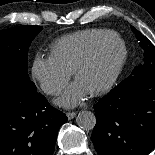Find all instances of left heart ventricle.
<instances>
[{"label": "left heart ventricle", "mask_w": 155, "mask_h": 155, "mask_svg": "<svg viewBox=\"0 0 155 155\" xmlns=\"http://www.w3.org/2000/svg\"><path fill=\"white\" fill-rule=\"evenodd\" d=\"M122 54L123 48L119 42L108 44L97 59L80 74L77 82L88 92L100 88L112 77Z\"/></svg>", "instance_id": "obj_1"}]
</instances>
